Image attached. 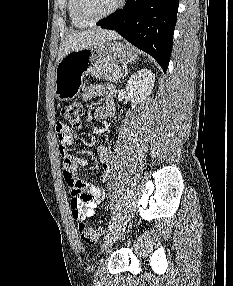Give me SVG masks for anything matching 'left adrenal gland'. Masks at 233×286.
I'll list each match as a JSON object with an SVG mask.
<instances>
[{
	"label": "left adrenal gland",
	"mask_w": 233,
	"mask_h": 286,
	"mask_svg": "<svg viewBox=\"0 0 233 286\" xmlns=\"http://www.w3.org/2000/svg\"><path fill=\"white\" fill-rule=\"evenodd\" d=\"M127 74H128V70L125 71V73L123 74V77H126Z\"/></svg>",
	"instance_id": "obj_1"
}]
</instances>
